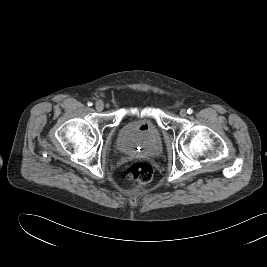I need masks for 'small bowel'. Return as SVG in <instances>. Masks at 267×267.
Segmentation results:
<instances>
[{
	"label": "small bowel",
	"instance_id": "c3829d8e",
	"mask_svg": "<svg viewBox=\"0 0 267 267\" xmlns=\"http://www.w3.org/2000/svg\"><path fill=\"white\" fill-rule=\"evenodd\" d=\"M141 127H142L143 129H145V128H146V125H142Z\"/></svg>",
	"mask_w": 267,
	"mask_h": 267
}]
</instances>
